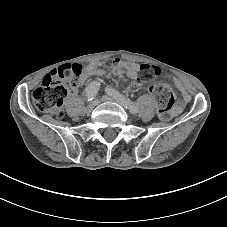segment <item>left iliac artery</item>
Returning <instances> with one entry per match:
<instances>
[{"instance_id": "left-iliac-artery-1", "label": "left iliac artery", "mask_w": 227, "mask_h": 227, "mask_svg": "<svg viewBox=\"0 0 227 227\" xmlns=\"http://www.w3.org/2000/svg\"><path fill=\"white\" fill-rule=\"evenodd\" d=\"M105 91L109 96L113 97L114 99H116L118 101H121L124 104V106L129 109V111L131 113H133V114L137 113V108L131 102L130 99L125 98L122 94H120L118 91H116L115 89H113L111 87H107L105 89Z\"/></svg>"}]
</instances>
